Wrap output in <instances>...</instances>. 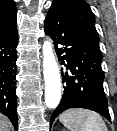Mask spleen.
Segmentation results:
<instances>
[{
	"instance_id": "obj_1",
	"label": "spleen",
	"mask_w": 117,
	"mask_h": 131,
	"mask_svg": "<svg viewBox=\"0 0 117 131\" xmlns=\"http://www.w3.org/2000/svg\"><path fill=\"white\" fill-rule=\"evenodd\" d=\"M59 121L69 131H107V127L102 117L91 110L70 109L63 112Z\"/></svg>"
}]
</instances>
